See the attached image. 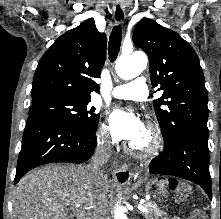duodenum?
I'll return each mask as SVG.
<instances>
[{
    "mask_svg": "<svg viewBox=\"0 0 221 219\" xmlns=\"http://www.w3.org/2000/svg\"><path fill=\"white\" fill-rule=\"evenodd\" d=\"M68 219H84V216L81 213H75L68 217Z\"/></svg>",
    "mask_w": 221,
    "mask_h": 219,
    "instance_id": "obj_1",
    "label": "duodenum"
}]
</instances>
